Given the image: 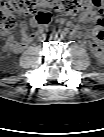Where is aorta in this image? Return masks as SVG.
<instances>
[{"label":"aorta","instance_id":"obj_1","mask_svg":"<svg viewBox=\"0 0 104 137\" xmlns=\"http://www.w3.org/2000/svg\"><path fill=\"white\" fill-rule=\"evenodd\" d=\"M66 39V34L64 32H59L55 35V40L57 42H62Z\"/></svg>","mask_w":104,"mask_h":137}]
</instances>
